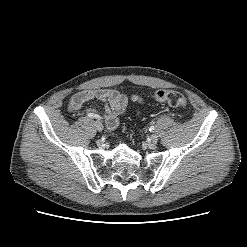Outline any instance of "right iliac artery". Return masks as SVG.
Returning a JSON list of instances; mask_svg holds the SVG:
<instances>
[{
	"label": "right iliac artery",
	"mask_w": 247,
	"mask_h": 247,
	"mask_svg": "<svg viewBox=\"0 0 247 247\" xmlns=\"http://www.w3.org/2000/svg\"><path fill=\"white\" fill-rule=\"evenodd\" d=\"M87 117H89V118H98L96 115H93V114H87Z\"/></svg>",
	"instance_id": "82829eb1"
}]
</instances>
